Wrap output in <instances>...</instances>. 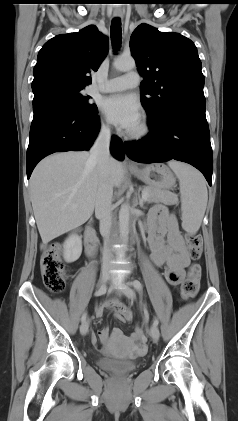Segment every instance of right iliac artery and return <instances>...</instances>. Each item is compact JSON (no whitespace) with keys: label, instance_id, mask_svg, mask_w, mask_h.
<instances>
[{"label":"right iliac artery","instance_id":"obj_1","mask_svg":"<svg viewBox=\"0 0 238 421\" xmlns=\"http://www.w3.org/2000/svg\"><path fill=\"white\" fill-rule=\"evenodd\" d=\"M105 292H106V285H103V286H101L100 287V289L99 290H97L96 292H95V296H101V295H103V294H105ZM86 317H87V313L85 312L83 315H82V318H81V320H82V322H84L85 320H86Z\"/></svg>","mask_w":238,"mask_h":421}]
</instances>
